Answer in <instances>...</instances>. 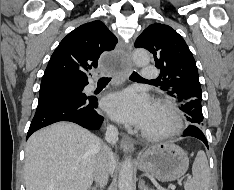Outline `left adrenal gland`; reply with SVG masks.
I'll return each instance as SVG.
<instances>
[{
    "label": "left adrenal gland",
    "instance_id": "left-adrenal-gland-1",
    "mask_svg": "<svg viewBox=\"0 0 234 190\" xmlns=\"http://www.w3.org/2000/svg\"><path fill=\"white\" fill-rule=\"evenodd\" d=\"M138 187L140 190H154V189H150L147 185H145L144 180L139 181Z\"/></svg>",
    "mask_w": 234,
    "mask_h": 190
}]
</instances>
